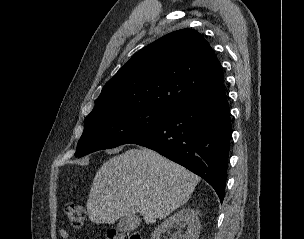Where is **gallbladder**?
<instances>
[{
	"instance_id": "1",
	"label": "gallbladder",
	"mask_w": 304,
	"mask_h": 239,
	"mask_svg": "<svg viewBox=\"0 0 304 239\" xmlns=\"http://www.w3.org/2000/svg\"><path fill=\"white\" fill-rule=\"evenodd\" d=\"M140 224V219L136 215H127L122 217L117 223V229L121 232L135 230Z\"/></svg>"
}]
</instances>
